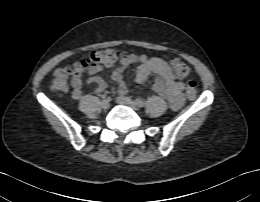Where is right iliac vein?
I'll use <instances>...</instances> for the list:
<instances>
[{
  "mask_svg": "<svg viewBox=\"0 0 260 202\" xmlns=\"http://www.w3.org/2000/svg\"><path fill=\"white\" fill-rule=\"evenodd\" d=\"M101 107H102L103 109H108V108L110 107L109 101H108V100H103V101L101 102Z\"/></svg>",
  "mask_w": 260,
  "mask_h": 202,
  "instance_id": "right-iliac-vein-1",
  "label": "right iliac vein"
}]
</instances>
